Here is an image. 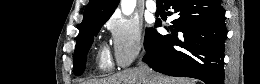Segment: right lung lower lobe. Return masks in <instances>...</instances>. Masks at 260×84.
<instances>
[{"mask_svg":"<svg viewBox=\"0 0 260 84\" xmlns=\"http://www.w3.org/2000/svg\"><path fill=\"white\" fill-rule=\"evenodd\" d=\"M164 5L177 13L172 35L153 29L143 60L166 75L223 84L227 30L220 0H164Z\"/></svg>","mask_w":260,"mask_h":84,"instance_id":"obj_1","label":"right lung lower lobe"}]
</instances>
